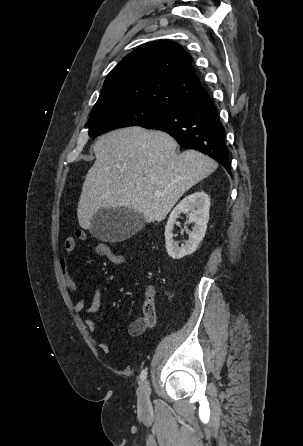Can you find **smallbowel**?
Wrapping results in <instances>:
<instances>
[{"label": "small bowel", "instance_id": "obj_1", "mask_svg": "<svg viewBox=\"0 0 303 446\" xmlns=\"http://www.w3.org/2000/svg\"><path fill=\"white\" fill-rule=\"evenodd\" d=\"M76 239L86 241V232L82 229H79L76 231L75 237H67L64 240L63 249L66 253V256L63 257L60 262L64 284L71 292H75L77 290V285L69 274L68 256L71 255L76 248ZM93 248L94 251L97 253L100 248V243H96ZM100 306L101 290L96 287L93 292L90 304L87 306L85 297H80L74 303V310L78 314H92L97 312ZM155 324L156 310L154 304V292L152 289H149L146 293V299L142 307L141 315L129 324L128 332L131 336H140L144 333L145 330L152 328ZM86 326L90 332H95L97 330V324L93 320H87ZM98 347L104 353H109L111 351V345L108 342H101L98 344Z\"/></svg>", "mask_w": 303, "mask_h": 446}]
</instances>
